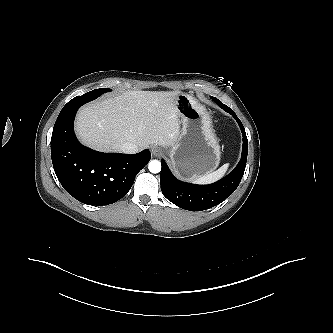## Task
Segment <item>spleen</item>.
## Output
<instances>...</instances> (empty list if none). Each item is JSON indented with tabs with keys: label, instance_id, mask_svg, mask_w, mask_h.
Instances as JSON below:
<instances>
[{
	"label": "spleen",
	"instance_id": "1",
	"mask_svg": "<svg viewBox=\"0 0 333 333\" xmlns=\"http://www.w3.org/2000/svg\"><path fill=\"white\" fill-rule=\"evenodd\" d=\"M229 167V164H224L222 167H220L218 170L201 175L193 180V183L196 184H210L212 182H215L219 180L221 177L224 176L227 169Z\"/></svg>",
	"mask_w": 333,
	"mask_h": 333
}]
</instances>
